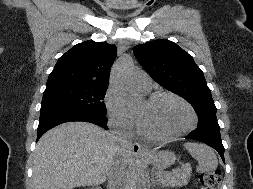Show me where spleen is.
Returning a JSON list of instances; mask_svg holds the SVG:
<instances>
[{"label": "spleen", "instance_id": "3e777b00", "mask_svg": "<svg viewBox=\"0 0 253 189\" xmlns=\"http://www.w3.org/2000/svg\"><path fill=\"white\" fill-rule=\"evenodd\" d=\"M184 148L198 161L197 172L216 170L218 159L214 150L205 144L186 142Z\"/></svg>", "mask_w": 253, "mask_h": 189}]
</instances>
